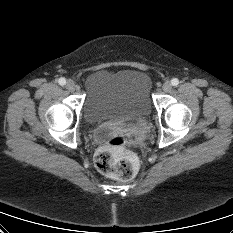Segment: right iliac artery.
I'll return each instance as SVG.
<instances>
[{
  "label": "right iliac artery",
  "mask_w": 233,
  "mask_h": 233,
  "mask_svg": "<svg viewBox=\"0 0 233 233\" xmlns=\"http://www.w3.org/2000/svg\"><path fill=\"white\" fill-rule=\"evenodd\" d=\"M58 83H59L61 86H63V85L66 84V79L63 78V77H61V78L58 79Z\"/></svg>",
  "instance_id": "obj_1"
}]
</instances>
